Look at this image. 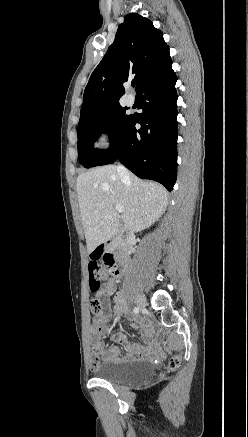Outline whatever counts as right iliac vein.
Here are the masks:
<instances>
[{"label": "right iliac vein", "instance_id": "obj_1", "mask_svg": "<svg viewBox=\"0 0 248 437\" xmlns=\"http://www.w3.org/2000/svg\"><path fill=\"white\" fill-rule=\"evenodd\" d=\"M137 304L140 309H143L146 306V298L143 294H140L137 298Z\"/></svg>", "mask_w": 248, "mask_h": 437}]
</instances>
